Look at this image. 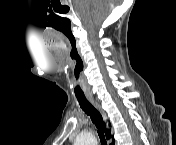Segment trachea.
<instances>
[{
	"mask_svg": "<svg viewBox=\"0 0 176 145\" xmlns=\"http://www.w3.org/2000/svg\"><path fill=\"white\" fill-rule=\"evenodd\" d=\"M82 110L90 116L92 122L98 129V136L102 145H107L104 133H106V125L100 112L87 100L84 95H76Z\"/></svg>",
	"mask_w": 176,
	"mask_h": 145,
	"instance_id": "obj_1",
	"label": "trachea"
}]
</instances>
